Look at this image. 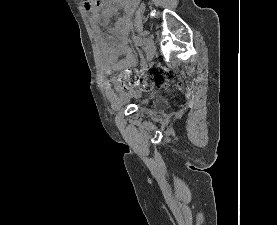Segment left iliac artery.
<instances>
[{
    "label": "left iliac artery",
    "mask_w": 277,
    "mask_h": 225,
    "mask_svg": "<svg viewBox=\"0 0 277 225\" xmlns=\"http://www.w3.org/2000/svg\"><path fill=\"white\" fill-rule=\"evenodd\" d=\"M132 39H133V42H134V44L137 48L142 46V40L139 36L133 35Z\"/></svg>",
    "instance_id": "44dca946"
}]
</instances>
